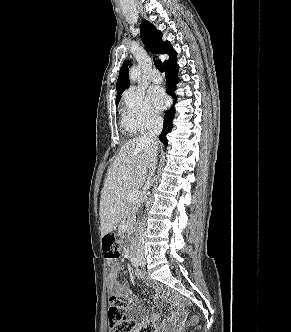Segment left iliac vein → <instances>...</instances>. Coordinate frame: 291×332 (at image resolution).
Returning a JSON list of instances; mask_svg holds the SVG:
<instances>
[{
	"label": "left iliac vein",
	"mask_w": 291,
	"mask_h": 332,
	"mask_svg": "<svg viewBox=\"0 0 291 332\" xmlns=\"http://www.w3.org/2000/svg\"><path fill=\"white\" fill-rule=\"evenodd\" d=\"M139 264H140V266H145L146 265V261H145V259L143 258V257H141L140 259H139Z\"/></svg>",
	"instance_id": "obj_1"
}]
</instances>
